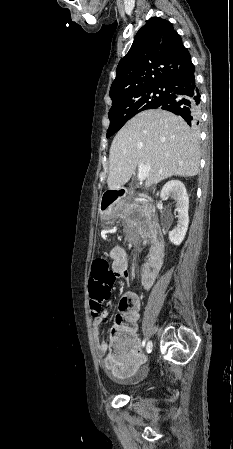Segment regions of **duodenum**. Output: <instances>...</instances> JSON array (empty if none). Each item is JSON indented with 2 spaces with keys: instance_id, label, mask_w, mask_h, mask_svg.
<instances>
[{
  "instance_id": "410a0bca",
  "label": "duodenum",
  "mask_w": 233,
  "mask_h": 449,
  "mask_svg": "<svg viewBox=\"0 0 233 449\" xmlns=\"http://www.w3.org/2000/svg\"><path fill=\"white\" fill-rule=\"evenodd\" d=\"M129 191V188L126 186H112L111 191L104 192V197L101 199V207L107 209L109 206H115L116 200L118 199L134 197L135 194ZM150 219L151 221L148 224L147 229L151 247L148 251L146 263L142 272H155L157 276L163 263L164 242L160 225L153 221V218Z\"/></svg>"
}]
</instances>
